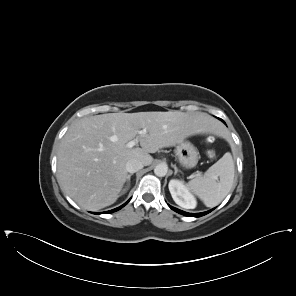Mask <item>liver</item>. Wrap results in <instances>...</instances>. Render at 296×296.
<instances>
[{"instance_id": "1", "label": "liver", "mask_w": 296, "mask_h": 296, "mask_svg": "<svg viewBox=\"0 0 296 296\" xmlns=\"http://www.w3.org/2000/svg\"><path fill=\"white\" fill-rule=\"evenodd\" d=\"M140 129H146L140 135ZM217 134L214 119L201 112L108 113L84 117L61 140L57 179L80 207L95 211L116 202L127 181L126 163L153 162L149 153L175 146L194 134ZM138 137L140 147L126 144Z\"/></svg>"}]
</instances>
